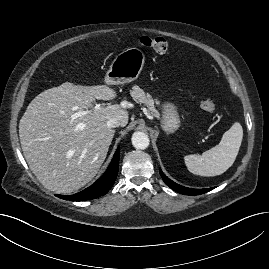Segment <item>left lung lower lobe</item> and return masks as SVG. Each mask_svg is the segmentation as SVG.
Here are the masks:
<instances>
[{
  "mask_svg": "<svg viewBox=\"0 0 269 269\" xmlns=\"http://www.w3.org/2000/svg\"><path fill=\"white\" fill-rule=\"evenodd\" d=\"M160 175L163 179V181L174 191L181 193V194H185V195H200L203 193H206L210 190H212L213 188H208V189H191V188H187V187H183L175 182H173L172 180H170L163 172L161 169H159Z\"/></svg>",
  "mask_w": 269,
  "mask_h": 269,
  "instance_id": "0a47b994",
  "label": "left lung lower lobe"
}]
</instances>
